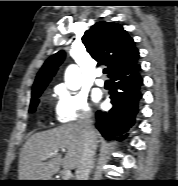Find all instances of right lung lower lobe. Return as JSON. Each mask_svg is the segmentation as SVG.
I'll return each instance as SVG.
<instances>
[{"mask_svg":"<svg viewBox=\"0 0 178 186\" xmlns=\"http://www.w3.org/2000/svg\"><path fill=\"white\" fill-rule=\"evenodd\" d=\"M136 61L110 76V99L113 107L108 112L97 111L96 127L106 139L123 135L135 123L143 79ZM83 185V184H82Z\"/></svg>","mask_w":178,"mask_h":186,"instance_id":"right-lung-lower-lobe-1","label":"right lung lower lobe"}]
</instances>
